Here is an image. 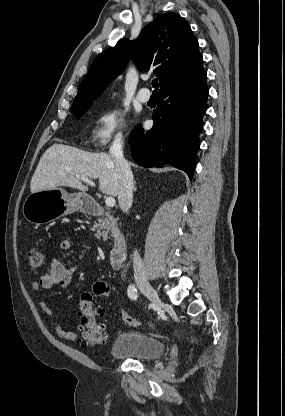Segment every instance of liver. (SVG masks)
Instances as JSON below:
<instances>
[{"label": "liver", "instance_id": "1", "mask_svg": "<svg viewBox=\"0 0 285 416\" xmlns=\"http://www.w3.org/2000/svg\"><path fill=\"white\" fill-rule=\"evenodd\" d=\"M78 174L90 180L98 178L102 194L118 196L121 178L112 156L91 154L63 144H53L40 158L32 176L30 190L35 194L66 186L87 192V186H83L80 178H76Z\"/></svg>", "mask_w": 285, "mask_h": 416}]
</instances>
